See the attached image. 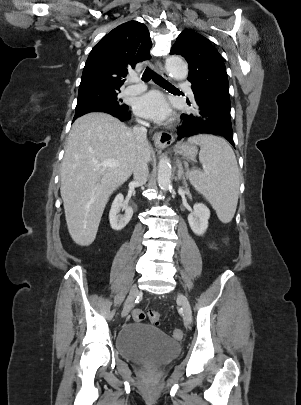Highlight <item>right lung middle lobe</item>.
Masks as SVG:
<instances>
[{
    "mask_svg": "<svg viewBox=\"0 0 301 405\" xmlns=\"http://www.w3.org/2000/svg\"><path fill=\"white\" fill-rule=\"evenodd\" d=\"M119 89L91 88L78 93L75 116L103 110H127L128 106L117 98Z\"/></svg>",
    "mask_w": 301,
    "mask_h": 405,
    "instance_id": "dd1d6c3e",
    "label": "right lung middle lobe"
}]
</instances>
